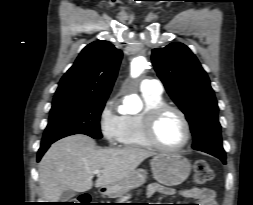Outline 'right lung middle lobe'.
I'll return each instance as SVG.
<instances>
[{"label":"right lung middle lobe","mask_w":253,"mask_h":205,"mask_svg":"<svg viewBox=\"0 0 253 205\" xmlns=\"http://www.w3.org/2000/svg\"><path fill=\"white\" fill-rule=\"evenodd\" d=\"M106 100L107 98L53 101L41 144L53 143L73 134L101 138L99 120Z\"/></svg>","instance_id":"right-lung-middle-lobe-1"}]
</instances>
